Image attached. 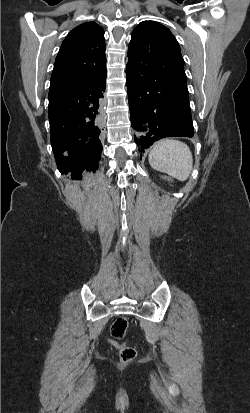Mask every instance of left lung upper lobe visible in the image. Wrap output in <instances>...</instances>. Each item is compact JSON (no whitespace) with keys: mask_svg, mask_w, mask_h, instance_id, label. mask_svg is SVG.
<instances>
[{"mask_svg":"<svg viewBox=\"0 0 250 413\" xmlns=\"http://www.w3.org/2000/svg\"><path fill=\"white\" fill-rule=\"evenodd\" d=\"M145 39H151L155 45L158 60H164L175 72L185 75L179 44L168 28L155 21H143L133 30L129 47Z\"/></svg>","mask_w":250,"mask_h":413,"instance_id":"obj_1","label":"left lung upper lobe"}]
</instances>
